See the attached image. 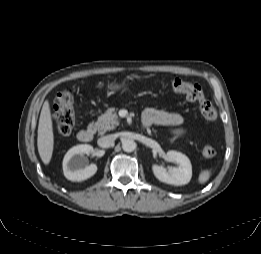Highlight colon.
I'll return each instance as SVG.
<instances>
[{"mask_svg": "<svg viewBox=\"0 0 261 254\" xmlns=\"http://www.w3.org/2000/svg\"><path fill=\"white\" fill-rule=\"evenodd\" d=\"M171 88L175 93L183 94L190 101L196 102L203 117L208 121H216L218 113L213 104L204 96L202 87L195 82L174 79ZM74 90L65 89L58 93L54 100V125L59 134L67 136L72 132L75 113L73 109ZM202 154L206 158H212L216 155V149L213 146H205Z\"/></svg>", "mask_w": 261, "mask_h": 254, "instance_id": "1", "label": "colon"}]
</instances>
